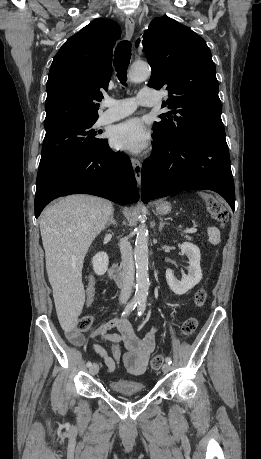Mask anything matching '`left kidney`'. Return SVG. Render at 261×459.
Segmentation results:
<instances>
[{"mask_svg": "<svg viewBox=\"0 0 261 459\" xmlns=\"http://www.w3.org/2000/svg\"><path fill=\"white\" fill-rule=\"evenodd\" d=\"M182 255L189 259V272L183 279L178 280L171 269L166 270V280L170 289L177 295H183L197 285L202 278L200 267V250L189 242H184L180 246Z\"/></svg>", "mask_w": 261, "mask_h": 459, "instance_id": "5707ae66", "label": "left kidney"}]
</instances>
